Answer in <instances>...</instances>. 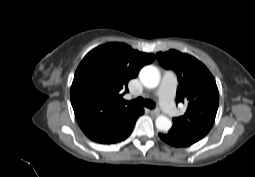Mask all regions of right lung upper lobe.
<instances>
[{"instance_id":"right-lung-upper-lobe-1","label":"right lung upper lobe","mask_w":255,"mask_h":177,"mask_svg":"<svg viewBox=\"0 0 255 177\" xmlns=\"http://www.w3.org/2000/svg\"><path fill=\"white\" fill-rule=\"evenodd\" d=\"M155 59L123 43H107L91 50L79 64L70 97L76 120L85 134L128 112L122 99L130 79Z\"/></svg>"}]
</instances>
